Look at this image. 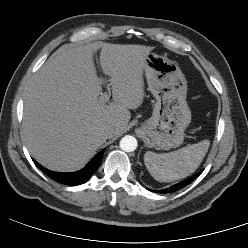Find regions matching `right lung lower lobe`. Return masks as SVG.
<instances>
[{
	"label": "right lung lower lobe",
	"instance_id": "obj_1",
	"mask_svg": "<svg viewBox=\"0 0 248 248\" xmlns=\"http://www.w3.org/2000/svg\"><path fill=\"white\" fill-rule=\"evenodd\" d=\"M104 150L95 155V157L86 165V167L78 172L74 173H60L50 171L45 169L40 164H38L35 160L34 163L36 166L44 172L51 179L55 180L58 183L64 185H80L88 181V179L94 174V172L99 168Z\"/></svg>",
	"mask_w": 248,
	"mask_h": 248
}]
</instances>
